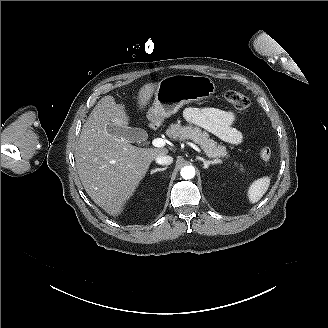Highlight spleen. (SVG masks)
<instances>
[{
	"label": "spleen",
	"instance_id": "spleen-1",
	"mask_svg": "<svg viewBox=\"0 0 328 328\" xmlns=\"http://www.w3.org/2000/svg\"><path fill=\"white\" fill-rule=\"evenodd\" d=\"M271 179L269 176H263L254 180L247 189L246 196L249 204L257 203L267 192Z\"/></svg>",
	"mask_w": 328,
	"mask_h": 328
}]
</instances>
